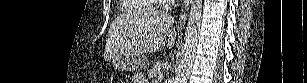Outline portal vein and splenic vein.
Wrapping results in <instances>:
<instances>
[{
  "label": "portal vein and splenic vein",
  "mask_w": 307,
  "mask_h": 83,
  "mask_svg": "<svg viewBox=\"0 0 307 83\" xmlns=\"http://www.w3.org/2000/svg\"><path fill=\"white\" fill-rule=\"evenodd\" d=\"M161 77H162V74H161V73H159V74H158V79H159V78H161Z\"/></svg>",
  "instance_id": "1"
}]
</instances>
